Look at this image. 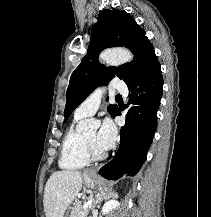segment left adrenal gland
I'll list each match as a JSON object with an SVG mask.
<instances>
[{"label": "left adrenal gland", "instance_id": "obj_1", "mask_svg": "<svg viewBox=\"0 0 211 217\" xmlns=\"http://www.w3.org/2000/svg\"><path fill=\"white\" fill-rule=\"evenodd\" d=\"M117 193L115 192H100L96 194V201L93 203L92 208L94 209L96 206H98V204H100V202L103 201V199H109L110 197H114L116 196ZM92 209V210H93Z\"/></svg>", "mask_w": 211, "mask_h": 217}]
</instances>
